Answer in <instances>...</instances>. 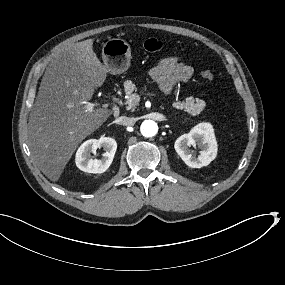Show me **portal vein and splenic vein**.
Here are the masks:
<instances>
[{"label":"portal vein and splenic vein","instance_id":"18ae733b","mask_svg":"<svg viewBox=\"0 0 285 285\" xmlns=\"http://www.w3.org/2000/svg\"><path fill=\"white\" fill-rule=\"evenodd\" d=\"M89 106H90L91 108H93V107H94V104H93V103H89Z\"/></svg>","mask_w":285,"mask_h":285}]
</instances>
